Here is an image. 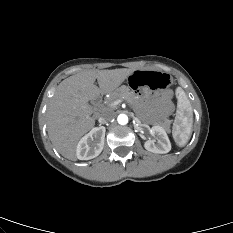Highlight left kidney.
I'll return each mask as SVG.
<instances>
[{
  "label": "left kidney",
  "mask_w": 233,
  "mask_h": 233,
  "mask_svg": "<svg viewBox=\"0 0 233 233\" xmlns=\"http://www.w3.org/2000/svg\"><path fill=\"white\" fill-rule=\"evenodd\" d=\"M150 131L156 137L157 143H155L156 141L154 139L145 138V149L153 153H168L171 150V143L166 130L161 126L155 125Z\"/></svg>",
  "instance_id": "1"
}]
</instances>
